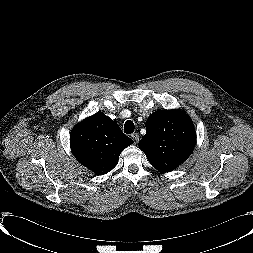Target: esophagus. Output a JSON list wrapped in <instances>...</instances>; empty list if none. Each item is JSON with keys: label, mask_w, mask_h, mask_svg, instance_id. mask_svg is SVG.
Segmentation results:
<instances>
[{"label": "esophagus", "mask_w": 253, "mask_h": 253, "mask_svg": "<svg viewBox=\"0 0 253 253\" xmlns=\"http://www.w3.org/2000/svg\"><path fill=\"white\" fill-rule=\"evenodd\" d=\"M131 138L133 139L134 144H137V143H138V141H139V135H138L137 133H133V134L131 135Z\"/></svg>", "instance_id": "obj_1"}]
</instances>
